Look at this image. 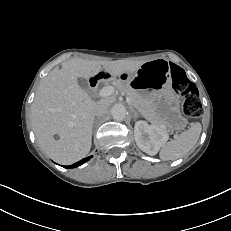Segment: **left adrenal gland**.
I'll return each instance as SVG.
<instances>
[{
  "instance_id": "a2214340",
  "label": "left adrenal gland",
  "mask_w": 231,
  "mask_h": 231,
  "mask_svg": "<svg viewBox=\"0 0 231 231\" xmlns=\"http://www.w3.org/2000/svg\"><path fill=\"white\" fill-rule=\"evenodd\" d=\"M133 113H134V118L136 119L139 115V113L137 111H135L133 108H131Z\"/></svg>"
}]
</instances>
